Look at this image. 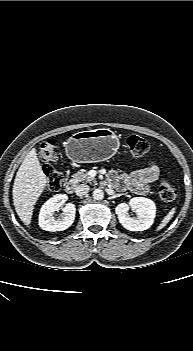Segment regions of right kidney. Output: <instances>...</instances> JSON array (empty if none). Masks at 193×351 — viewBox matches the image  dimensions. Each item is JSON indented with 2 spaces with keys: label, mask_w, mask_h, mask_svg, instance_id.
<instances>
[{
  "label": "right kidney",
  "mask_w": 193,
  "mask_h": 351,
  "mask_svg": "<svg viewBox=\"0 0 193 351\" xmlns=\"http://www.w3.org/2000/svg\"><path fill=\"white\" fill-rule=\"evenodd\" d=\"M68 197L65 194H57L47 200L41 207L39 213V226L46 231H63L69 228L75 219L76 207L73 203H67ZM63 205H65L63 207ZM63 210V216L61 219H55L53 217L54 212Z\"/></svg>",
  "instance_id": "right-kidney-1"
}]
</instances>
